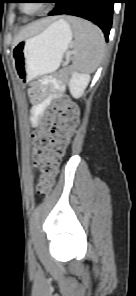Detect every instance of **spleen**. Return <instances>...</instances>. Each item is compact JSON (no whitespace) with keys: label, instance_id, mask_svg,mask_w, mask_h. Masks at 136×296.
I'll return each mask as SVG.
<instances>
[{"label":"spleen","instance_id":"spleen-1","mask_svg":"<svg viewBox=\"0 0 136 296\" xmlns=\"http://www.w3.org/2000/svg\"><path fill=\"white\" fill-rule=\"evenodd\" d=\"M68 21L74 33L73 69L82 73L94 72L104 55V35L89 21L69 17Z\"/></svg>","mask_w":136,"mask_h":296}]
</instances>
